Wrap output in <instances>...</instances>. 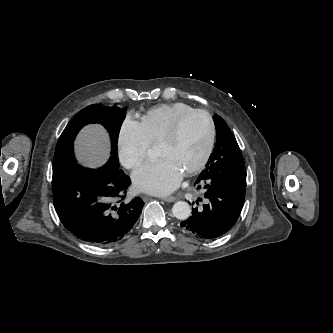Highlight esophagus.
Wrapping results in <instances>:
<instances>
[{
	"mask_svg": "<svg viewBox=\"0 0 333 333\" xmlns=\"http://www.w3.org/2000/svg\"><path fill=\"white\" fill-rule=\"evenodd\" d=\"M142 198L143 199H147L148 196L147 195H142ZM162 200H164L166 202H174V201H176V197H174V196H168V197L162 198Z\"/></svg>",
	"mask_w": 333,
	"mask_h": 333,
	"instance_id": "obj_1",
	"label": "esophagus"
}]
</instances>
